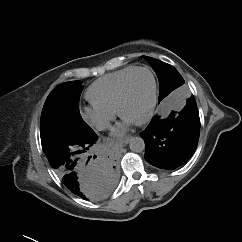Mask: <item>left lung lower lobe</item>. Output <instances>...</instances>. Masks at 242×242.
Returning a JSON list of instances; mask_svg holds the SVG:
<instances>
[{"label": "left lung lower lobe", "mask_w": 242, "mask_h": 242, "mask_svg": "<svg viewBox=\"0 0 242 242\" xmlns=\"http://www.w3.org/2000/svg\"><path fill=\"white\" fill-rule=\"evenodd\" d=\"M200 134V118L194 96L179 113L166 119L153 117L140 133L144 139V158L151 165L172 170L185 164L195 152Z\"/></svg>", "instance_id": "obj_1"}]
</instances>
